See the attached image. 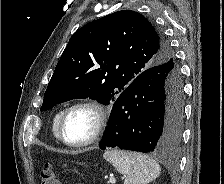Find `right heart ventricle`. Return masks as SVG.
I'll list each match as a JSON object with an SVG mask.
<instances>
[{"label": "right heart ventricle", "mask_w": 224, "mask_h": 184, "mask_svg": "<svg viewBox=\"0 0 224 184\" xmlns=\"http://www.w3.org/2000/svg\"><path fill=\"white\" fill-rule=\"evenodd\" d=\"M62 112H63V110H58L54 114V117H53V120H52V133H53V136L56 139H59L58 138V133H57V128H58V122H59V119H60V116H61Z\"/></svg>", "instance_id": "right-heart-ventricle-1"}]
</instances>
